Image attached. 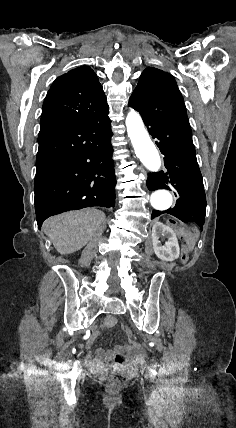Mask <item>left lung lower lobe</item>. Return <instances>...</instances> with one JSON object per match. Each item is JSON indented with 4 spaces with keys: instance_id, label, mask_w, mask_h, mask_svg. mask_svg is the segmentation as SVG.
Listing matches in <instances>:
<instances>
[{
    "instance_id": "left-lung-lower-lobe-1",
    "label": "left lung lower lobe",
    "mask_w": 236,
    "mask_h": 428,
    "mask_svg": "<svg viewBox=\"0 0 236 428\" xmlns=\"http://www.w3.org/2000/svg\"><path fill=\"white\" fill-rule=\"evenodd\" d=\"M145 125L162 154L166 172L150 173L147 187L173 190L176 205L166 211L153 210L151 219L171 214L184 223L197 224L202 230L206 214V196L202 175L197 163L191 128L163 118L143 117Z\"/></svg>"
}]
</instances>
